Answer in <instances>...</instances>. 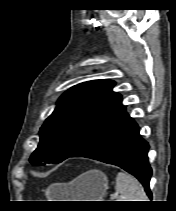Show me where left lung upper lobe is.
<instances>
[{"label": "left lung upper lobe", "mask_w": 176, "mask_h": 211, "mask_svg": "<svg viewBox=\"0 0 176 211\" xmlns=\"http://www.w3.org/2000/svg\"><path fill=\"white\" fill-rule=\"evenodd\" d=\"M114 85L111 80H92L66 91L41 127L39 145L29 161L37 166L62 162L122 112V96L112 91Z\"/></svg>", "instance_id": "5c2ea615"}]
</instances>
